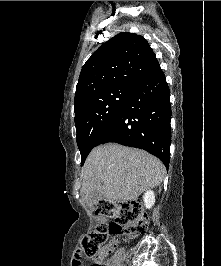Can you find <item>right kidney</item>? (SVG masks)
<instances>
[{"mask_svg":"<svg viewBox=\"0 0 221 266\" xmlns=\"http://www.w3.org/2000/svg\"><path fill=\"white\" fill-rule=\"evenodd\" d=\"M144 204L146 208L150 209L155 203V194L153 191L149 190L143 196Z\"/></svg>","mask_w":221,"mask_h":266,"instance_id":"right-kidney-1","label":"right kidney"}]
</instances>
